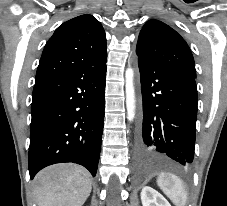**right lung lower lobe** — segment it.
Listing matches in <instances>:
<instances>
[{
    "instance_id": "right-lung-lower-lobe-1",
    "label": "right lung lower lobe",
    "mask_w": 227,
    "mask_h": 206,
    "mask_svg": "<svg viewBox=\"0 0 227 206\" xmlns=\"http://www.w3.org/2000/svg\"><path fill=\"white\" fill-rule=\"evenodd\" d=\"M106 61L36 81L31 105L29 172L73 162L96 175L101 149Z\"/></svg>"
}]
</instances>
